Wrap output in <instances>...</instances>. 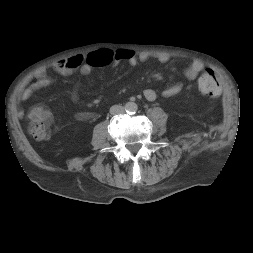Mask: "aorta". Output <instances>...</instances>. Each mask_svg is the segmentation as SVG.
Here are the masks:
<instances>
[{"instance_id":"1","label":"aorta","mask_w":253,"mask_h":253,"mask_svg":"<svg viewBox=\"0 0 253 253\" xmlns=\"http://www.w3.org/2000/svg\"><path fill=\"white\" fill-rule=\"evenodd\" d=\"M124 109H125L126 113L134 114L137 111L138 106L135 102H127L124 106Z\"/></svg>"}]
</instances>
